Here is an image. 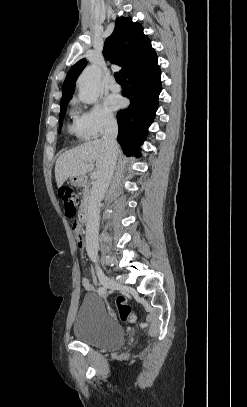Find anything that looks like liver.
Returning <instances> with one entry per match:
<instances>
[{
  "instance_id": "6515ba94",
  "label": "liver",
  "mask_w": 247,
  "mask_h": 407,
  "mask_svg": "<svg viewBox=\"0 0 247 407\" xmlns=\"http://www.w3.org/2000/svg\"><path fill=\"white\" fill-rule=\"evenodd\" d=\"M118 151V150H117ZM108 160V152L102 140L87 142L61 154L55 165L57 186L61 187L69 177H84L93 170L96 162L98 176L102 173Z\"/></svg>"
}]
</instances>
